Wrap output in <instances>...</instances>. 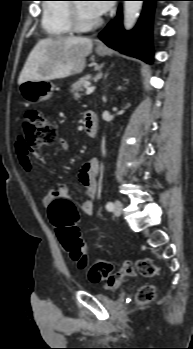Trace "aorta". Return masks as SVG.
<instances>
[{
  "label": "aorta",
  "mask_w": 193,
  "mask_h": 349,
  "mask_svg": "<svg viewBox=\"0 0 193 349\" xmlns=\"http://www.w3.org/2000/svg\"><path fill=\"white\" fill-rule=\"evenodd\" d=\"M142 1H125L124 4V27L130 30L136 23L142 8Z\"/></svg>",
  "instance_id": "aorta-1"
}]
</instances>
